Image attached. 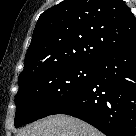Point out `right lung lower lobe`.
Segmentation results:
<instances>
[{
	"instance_id": "right-lung-lower-lobe-1",
	"label": "right lung lower lobe",
	"mask_w": 136,
	"mask_h": 136,
	"mask_svg": "<svg viewBox=\"0 0 136 136\" xmlns=\"http://www.w3.org/2000/svg\"><path fill=\"white\" fill-rule=\"evenodd\" d=\"M54 114L77 117L107 136H135L136 39L102 57L90 84Z\"/></svg>"
}]
</instances>
